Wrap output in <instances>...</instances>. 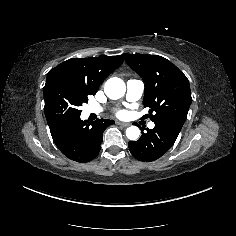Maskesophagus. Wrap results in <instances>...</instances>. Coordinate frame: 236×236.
Wrapping results in <instances>:
<instances>
[{
	"label": "esophagus",
	"instance_id": "1",
	"mask_svg": "<svg viewBox=\"0 0 236 236\" xmlns=\"http://www.w3.org/2000/svg\"><path fill=\"white\" fill-rule=\"evenodd\" d=\"M116 124H117V125L124 126V127H127V126H130V125H131V123H125V122H120V121L116 122Z\"/></svg>",
	"mask_w": 236,
	"mask_h": 236
}]
</instances>
